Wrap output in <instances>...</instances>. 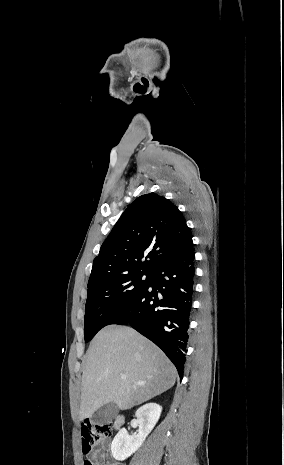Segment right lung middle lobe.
I'll list each match as a JSON object with an SVG mask.
<instances>
[{
	"label": "right lung middle lobe",
	"instance_id": "1",
	"mask_svg": "<svg viewBox=\"0 0 284 465\" xmlns=\"http://www.w3.org/2000/svg\"><path fill=\"white\" fill-rule=\"evenodd\" d=\"M143 275H146L145 280H142ZM149 278L150 274L133 273L89 288L84 319L85 342H89L100 329L109 325L146 287Z\"/></svg>",
	"mask_w": 284,
	"mask_h": 465
}]
</instances>
